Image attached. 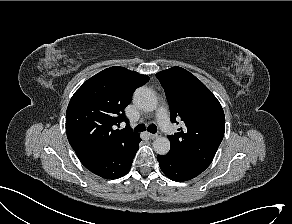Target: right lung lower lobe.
I'll return each instance as SVG.
<instances>
[{"mask_svg":"<svg viewBox=\"0 0 292 224\" xmlns=\"http://www.w3.org/2000/svg\"><path fill=\"white\" fill-rule=\"evenodd\" d=\"M140 141L139 137L132 145L123 148H74V151L92 173L105 179H117L130 170Z\"/></svg>","mask_w":292,"mask_h":224,"instance_id":"right-lung-lower-lobe-1","label":"right lung lower lobe"}]
</instances>
